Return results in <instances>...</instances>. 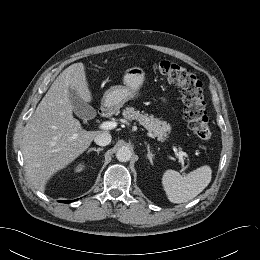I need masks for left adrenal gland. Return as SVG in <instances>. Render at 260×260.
<instances>
[{
    "mask_svg": "<svg viewBox=\"0 0 260 260\" xmlns=\"http://www.w3.org/2000/svg\"><path fill=\"white\" fill-rule=\"evenodd\" d=\"M147 144V143H146ZM147 158H148V160H149V162L151 163V164H153V158H154V154L151 152V150H150V145L149 144H147Z\"/></svg>",
    "mask_w": 260,
    "mask_h": 260,
    "instance_id": "a2214340",
    "label": "left adrenal gland"
}]
</instances>
